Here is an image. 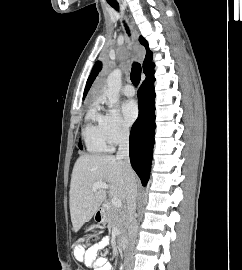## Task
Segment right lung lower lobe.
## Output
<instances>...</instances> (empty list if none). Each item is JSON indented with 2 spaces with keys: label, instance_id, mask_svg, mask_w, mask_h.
Listing matches in <instances>:
<instances>
[{
  "label": "right lung lower lobe",
  "instance_id": "98d812e1",
  "mask_svg": "<svg viewBox=\"0 0 242 270\" xmlns=\"http://www.w3.org/2000/svg\"><path fill=\"white\" fill-rule=\"evenodd\" d=\"M154 71L146 75L138 90L139 116L130 133V160L145 186L150 175L155 130Z\"/></svg>",
  "mask_w": 242,
  "mask_h": 270
}]
</instances>
